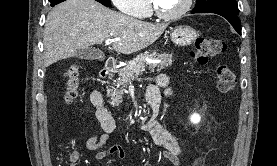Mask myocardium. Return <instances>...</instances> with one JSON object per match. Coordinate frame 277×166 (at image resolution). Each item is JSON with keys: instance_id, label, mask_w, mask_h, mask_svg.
I'll list each match as a JSON object with an SVG mask.
<instances>
[{"instance_id": "f54148a6", "label": "myocardium", "mask_w": 277, "mask_h": 166, "mask_svg": "<svg viewBox=\"0 0 277 166\" xmlns=\"http://www.w3.org/2000/svg\"><path fill=\"white\" fill-rule=\"evenodd\" d=\"M192 4L193 0H186L185 4L179 11L172 14H166L158 7L155 0H150L151 10L154 13V15L159 19L165 21H174L183 17L191 9Z\"/></svg>"}]
</instances>
